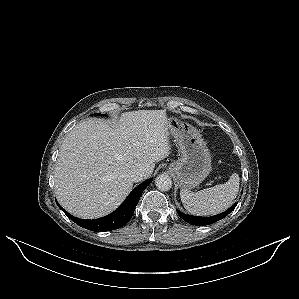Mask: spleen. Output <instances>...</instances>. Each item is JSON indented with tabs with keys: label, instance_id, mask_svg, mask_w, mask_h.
<instances>
[{
	"label": "spleen",
	"instance_id": "spleen-1",
	"mask_svg": "<svg viewBox=\"0 0 299 299\" xmlns=\"http://www.w3.org/2000/svg\"><path fill=\"white\" fill-rule=\"evenodd\" d=\"M239 191V175L234 173L224 184L191 192L187 189L180 191L184 208L193 215H215L226 210L235 200Z\"/></svg>",
	"mask_w": 299,
	"mask_h": 299
}]
</instances>
